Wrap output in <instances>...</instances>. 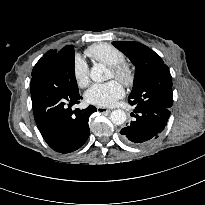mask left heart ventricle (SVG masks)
Masks as SVG:
<instances>
[{
    "label": "left heart ventricle",
    "instance_id": "obj_1",
    "mask_svg": "<svg viewBox=\"0 0 205 205\" xmlns=\"http://www.w3.org/2000/svg\"><path fill=\"white\" fill-rule=\"evenodd\" d=\"M112 77H113V74L111 71H109L108 78H112Z\"/></svg>",
    "mask_w": 205,
    "mask_h": 205
}]
</instances>
